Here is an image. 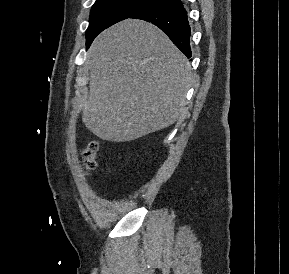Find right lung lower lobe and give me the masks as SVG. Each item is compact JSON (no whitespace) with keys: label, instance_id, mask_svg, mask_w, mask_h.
<instances>
[{"label":"right lung lower lobe","instance_id":"1","mask_svg":"<svg viewBox=\"0 0 289 274\" xmlns=\"http://www.w3.org/2000/svg\"><path fill=\"white\" fill-rule=\"evenodd\" d=\"M130 18L142 19L158 26L188 58L191 57L190 26L181 0H163Z\"/></svg>","mask_w":289,"mask_h":274}]
</instances>
